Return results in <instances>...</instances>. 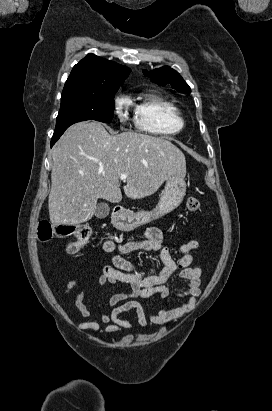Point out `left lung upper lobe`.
Wrapping results in <instances>:
<instances>
[{
	"mask_svg": "<svg viewBox=\"0 0 272 411\" xmlns=\"http://www.w3.org/2000/svg\"><path fill=\"white\" fill-rule=\"evenodd\" d=\"M143 73L145 76L149 77L152 82L158 85L165 86L169 84L172 88L180 92H191L190 87L183 80L180 74L170 67H161L152 71L143 70Z\"/></svg>",
	"mask_w": 272,
	"mask_h": 411,
	"instance_id": "1",
	"label": "left lung upper lobe"
}]
</instances>
